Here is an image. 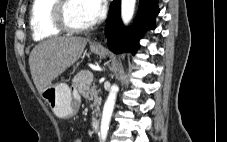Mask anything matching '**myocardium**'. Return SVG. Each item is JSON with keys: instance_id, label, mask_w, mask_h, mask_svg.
I'll return each mask as SVG.
<instances>
[{"instance_id": "myocardium-1", "label": "myocardium", "mask_w": 227, "mask_h": 142, "mask_svg": "<svg viewBox=\"0 0 227 142\" xmlns=\"http://www.w3.org/2000/svg\"><path fill=\"white\" fill-rule=\"evenodd\" d=\"M70 0H57L51 10V19L54 26L68 33H82L91 30L95 26V22L84 26L73 25L67 18V6Z\"/></svg>"}]
</instances>
